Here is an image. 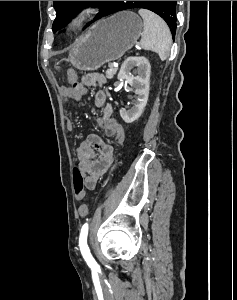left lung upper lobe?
<instances>
[{
	"label": "left lung upper lobe",
	"instance_id": "left-lung-upper-lobe-1",
	"mask_svg": "<svg viewBox=\"0 0 237 300\" xmlns=\"http://www.w3.org/2000/svg\"><path fill=\"white\" fill-rule=\"evenodd\" d=\"M176 2L177 1H120L118 11L133 8H144L151 10L165 20L174 37L177 26ZM90 3L99 5L102 8L98 16V18H101L110 14L109 9L115 3V1H53V5L56 10V18L52 25L53 32L66 26L72 15L78 11L77 9L79 7L88 5Z\"/></svg>",
	"mask_w": 237,
	"mask_h": 300
}]
</instances>
